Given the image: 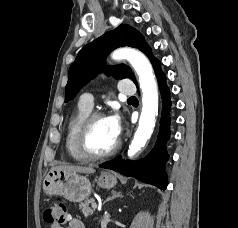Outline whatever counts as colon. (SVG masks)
Listing matches in <instances>:
<instances>
[{
  "label": "colon",
  "mask_w": 238,
  "mask_h": 228,
  "mask_svg": "<svg viewBox=\"0 0 238 228\" xmlns=\"http://www.w3.org/2000/svg\"><path fill=\"white\" fill-rule=\"evenodd\" d=\"M43 216L48 224L63 225L68 220L67 206L63 202H53L45 209Z\"/></svg>",
  "instance_id": "obj_1"
}]
</instances>
